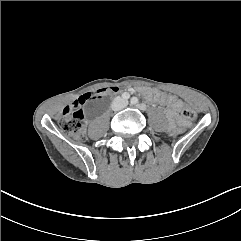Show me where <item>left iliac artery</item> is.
Listing matches in <instances>:
<instances>
[{"instance_id":"left-iliac-artery-1","label":"left iliac artery","mask_w":241,"mask_h":241,"mask_svg":"<svg viewBox=\"0 0 241 241\" xmlns=\"http://www.w3.org/2000/svg\"><path fill=\"white\" fill-rule=\"evenodd\" d=\"M138 103V98L137 97H132L131 98V104L135 105Z\"/></svg>"}]
</instances>
